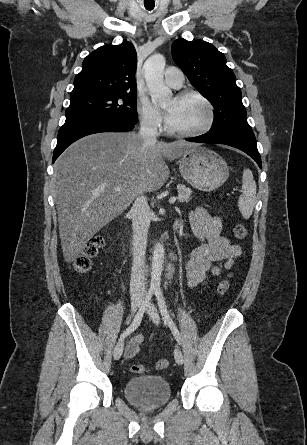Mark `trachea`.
<instances>
[{
  "label": "trachea",
  "mask_w": 307,
  "mask_h": 445,
  "mask_svg": "<svg viewBox=\"0 0 307 445\" xmlns=\"http://www.w3.org/2000/svg\"><path fill=\"white\" fill-rule=\"evenodd\" d=\"M147 10H153V8H151V9H148V8H147Z\"/></svg>",
  "instance_id": "3493384b"
}]
</instances>
